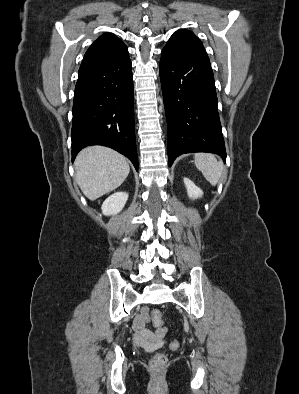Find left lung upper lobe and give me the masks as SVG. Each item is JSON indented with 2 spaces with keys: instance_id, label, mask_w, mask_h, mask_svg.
I'll use <instances>...</instances> for the list:
<instances>
[{
  "instance_id": "5c2ea615",
  "label": "left lung upper lobe",
  "mask_w": 299,
  "mask_h": 394,
  "mask_svg": "<svg viewBox=\"0 0 299 394\" xmlns=\"http://www.w3.org/2000/svg\"><path fill=\"white\" fill-rule=\"evenodd\" d=\"M164 50L180 55L207 56L205 48L192 31L180 29L167 42Z\"/></svg>"
}]
</instances>
